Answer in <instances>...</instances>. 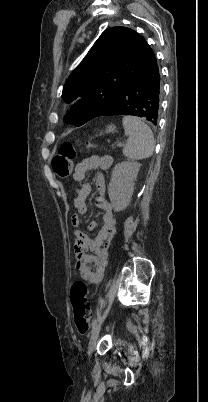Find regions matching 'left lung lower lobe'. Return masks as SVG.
Segmentation results:
<instances>
[{
  "label": "left lung lower lobe",
  "instance_id": "1",
  "mask_svg": "<svg viewBox=\"0 0 208 402\" xmlns=\"http://www.w3.org/2000/svg\"><path fill=\"white\" fill-rule=\"evenodd\" d=\"M138 66L122 86L116 99L98 116L134 115L157 125L161 101V79L157 59L151 47L137 32Z\"/></svg>",
  "mask_w": 208,
  "mask_h": 402
}]
</instances>
